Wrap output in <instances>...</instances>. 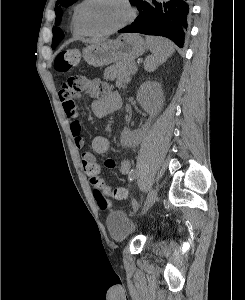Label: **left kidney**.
Returning a JSON list of instances; mask_svg holds the SVG:
<instances>
[{
    "instance_id": "5707ae66",
    "label": "left kidney",
    "mask_w": 245,
    "mask_h": 300,
    "mask_svg": "<svg viewBox=\"0 0 245 300\" xmlns=\"http://www.w3.org/2000/svg\"><path fill=\"white\" fill-rule=\"evenodd\" d=\"M163 91L161 85L156 81H147L141 85L137 92V101L141 107L154 117L163 105ZM135 132L124 130L122 140L125 144L135 140Z\"/></svg>"
}]
</instances>
